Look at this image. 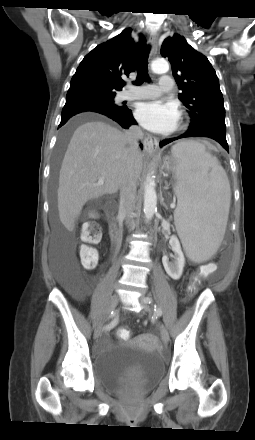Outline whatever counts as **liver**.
I'll return each mask as SVG.
<instances>
[{"instance_id": "1", "label": "liver", "mask_w": 255, "mask_h": 440, "mask_svg": "<svg viewBox=\"0 0 255 440\" xmlns=\"http://www.w3.org/2000/svg\"><path fill=\"white\" fill-rule=\"evenodd\" d=\"M129 145L126 134L101 121H89L73 133L64 155L57 190L59 218L72 231L85 203L116 193L126 176ZM136 181L142 171V153L134 155ZM103 177V184L99 179Z\"/></svg>"}]
</instances>
